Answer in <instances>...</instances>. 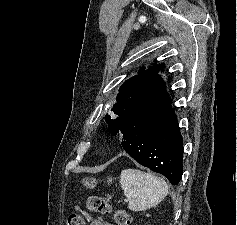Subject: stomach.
<instances>
[{"label": "stomach", "instance_id": "stomach-1", "mask_svg": "<svg viewBox=\"0 0 237 225\" xmlns=\"http://www.w3.org/2000/svg\"><path fill=\"white\" fill-rule=\"evenodd\" d=\"M112 181H113V179L110 177V178H108L107 183L111 184ZM82 182L86 188H94L97 184L96 179H94V178H85V179H83Z\"/></svg>", "mask_w": 237, "mask_h": 225}]
</instances>
